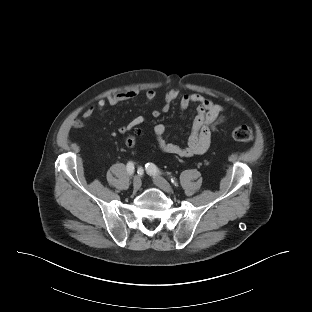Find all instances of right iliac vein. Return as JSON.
<instances>
[{"label": "right iliac vein", "instance_id": "obj_1", "mask_svg": "<svg viewBox=\"0 0 312 312\" xmlns=\"http://www.w3.org/2000/svg\"><path fill=\"white\" fill-rule=\"evenodd\" d=\"M142 181L141 178L139 176H136L133 180V189L135 191L139 190L141 187Z\"/></svg>", "mask_w": 312, "mask_h": 312}]
</instances>
